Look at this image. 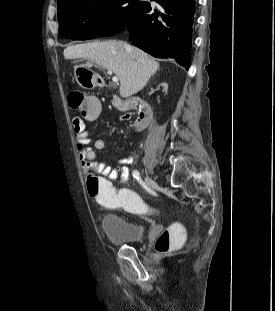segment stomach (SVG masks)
Here are the masks:
<instances>
[{
	"label": "stomach",
	"instance_id": "0dacf381",
	"mask_svg": "<svg viewBox=\"0 0 275 311\" xmlns=\"http://www.w3.org/2000/svg\"><path fill=\"white\" fill-rule=\"evenodd\" d=\"M74 75L77 83L83 88L90 89L97 85V75L87 67H76L74 70Z\"/></svg>",
	"mask_w": 275,
	"mask_h": 311
}]
</instances>
